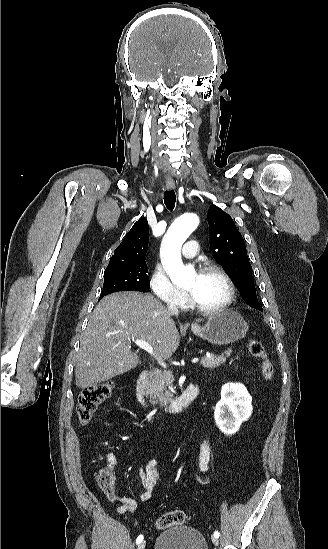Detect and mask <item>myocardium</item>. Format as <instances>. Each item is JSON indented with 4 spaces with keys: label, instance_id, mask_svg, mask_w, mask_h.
<instances>
[{
    "label": "myocardium",
    "instance_id": "obj_1",
    "mask_svg": "<svg viewBox=\"0 0 328 549\" xmlns=\"http://www.w3.org/2000/svg\"><path fill=\"white\" fill-rule=\"evenodd\" d=\"M185 267H192V268L199 267L200 268L198 270L199 274H203L207 272H217L223 277L228 288V292L225 300L213 308H205L201 306L196 300H194L190 296L189 293H187L189 306L193 310H195L197 313L203 316H214V315H219L221 313H224L231 307L236 297V285L233 278L227 272L226 267L224 265L211 260H202L198 262L186 263Z\"/></svg>",
    "mask_w": 328,
    "mask_h": 549
}]
</instances>
